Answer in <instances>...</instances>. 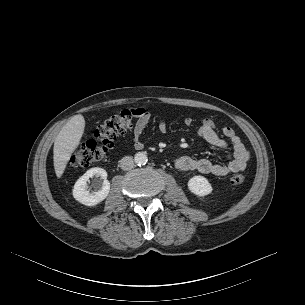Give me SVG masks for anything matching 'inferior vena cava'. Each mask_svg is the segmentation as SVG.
Wrapping results in <instances>:
<instances>
[{"label": "inferior vena cava", "instance_id": "obj_1", "mask_svg": "<svg viewBox=\"0 0 305 305\" xmlns=\"http://www.w3.org/2000/svg\"><path fill=\"white\" fill-rule=\"evenodd\" d=\"M134 166V160L130 156H125L120 160V167L122 170H130Z\"/></svg>", "mask_w": 305, "mask_h": 305}]
</instances>
